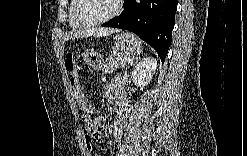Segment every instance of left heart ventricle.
<instances>
[{
	"label": "left heart ventricle",
	"instance_id": "left-heart-ventricle-1",
	"mask_svg": "<svg viewBox=\"0 0 247 156\" xmlns=\"http://www.w3.org/2000/svg\"><path fill=\"white\" fill-rule=\"evenodd\" d=\"M113 8L114 1L112 0L85 1L80 14L82 19L91 21L110 14Z\"/></svg>",
	"mask_w": 247,
	"mask_h": 156
}]
</instances>
